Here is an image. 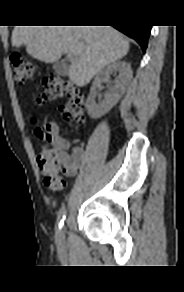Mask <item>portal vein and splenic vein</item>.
Segmentation results:
<instances>
[{
	"mask_svg": "<svg viewBox=\"0 0 184 292\" xmlns=\"http://www.w3.org/2000/svg\"><path fill=\"white\" fill-rule=\"evenodd\" d=\"M67 59L68 60H72L73 59V55L71 53H67Z\"/></svg>",
	"mask_w": 184,
	"mask_h": 292,
	"instance_id": "portal-vein-and-splenic-vein-1",
	"label": "portal vein and splenic vein"
}]
</instances>
